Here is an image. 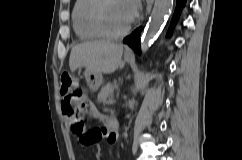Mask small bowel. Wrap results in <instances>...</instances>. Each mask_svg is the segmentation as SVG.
Segmentation results:
<instances>
[{
	"label": "small bowel",
	"mask_w": 242,
	"mask_h": 160,
	"mask_svg": "<svg viewBox=\"0 0 242 160\" xmlns=\"http://www.w3.org/2000/svg\"><path fill=\"white\" fill-rule=\"evenodd\" d=\"M66 102L63 101L62 102V105H61V108H62V113H63V105L65 104ZM87 112H89L90 114H95V111L94 109H92L89 105H87V109H86ZM66 117V116H65ZM66 124L72 129V131L79 135L76 131H75V126L77 124V120L75 118H68L66 117ZM116 126H117V122L115 120V127L112 128V129H94L93 131H97L99 132L98 136L94 139V143H97L99 142L103 137L107 139V141L109 143H115L116 142V134H115V130H116ZM86 145V144H84ZM91 145V144H90Z\"/></svg>",
	"instance_id": "1"
}]
</instances>
